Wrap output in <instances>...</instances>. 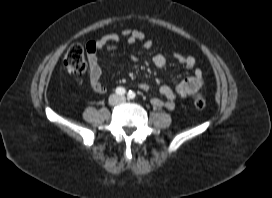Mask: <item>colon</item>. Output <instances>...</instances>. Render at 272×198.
I'll return each instance as SVG.
<instances>
[{"label":"colon","mask_w":272,"mask_h":198,"mask_svg":"<svg viewBox=\"0 0 272 198\" xmlns=\"http://www.w3.org/2000/svg\"><path fill=\"white\" fill-rule=\"evenodd\" d=\"M64 66L70 75H78L85 71L86 60L85 51L81 44H72L64 56ZM194 105L198 109H202L206 105L203 97L198 96L194 100Z\"/></svg>","instance_id":"1"}]
</instances>
